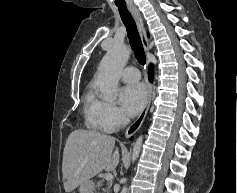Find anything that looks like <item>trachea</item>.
Masks as SVG:
<instances>
[{
    "mask_svg": "<svg viewBox=\"0 0 237 193\" xmlns=\"http://www.w3.org/2000/svg\"><path fill=\"white\" fill-rule=\"evenodd\" d=\"M118 9L120 17L126 27L129 42L134 51L135 57L141 65H144L146 57L136 23L126 6H118Z\"/></svg>",
    "mask_w": 237,
    "mask_h": 193,
    "instance_id": "1",
    "label": "trachea"
}]
</instances>
